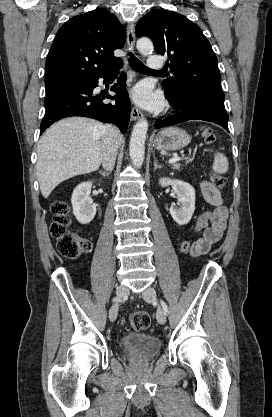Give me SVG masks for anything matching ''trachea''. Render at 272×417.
<instances>
[{
	"instance_id": "trachea-1",
	"label": "trachea",
	"mask_w": 272,
	"mask_h": 417,
	"mask_svg": "<svg viewBox=\"0 0 272 417\" xmlns=\"http://www.w3.org/2000/svg\"><path fill=\"white\" fill-rule=\"evenodd\" d=\"M129 64L134 70L140 73H164L163 70L154 71V70L149 69L138 58H136L133 55H130L129 57Z\"/></svg>"
}]
</instances>
